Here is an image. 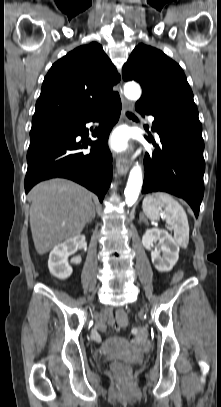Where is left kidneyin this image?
I'll return each instance as SVG.
<instances>
[{"label":"left kidney","mask_w":221,"mask_h":407,"mask_svg":"<svg viewBox=\"0 0 221 407\" xmlns=\"http://www.w3.org/2000/svg\"><path fill=\"white\" fill-rule=\"evenodd\" d=\"M159 241L160 249L153 248V243ZM143 246L151 251V259L160 272L171 271L179 258V246L173 237L163 229H147L142 237ZM162 252V256L160 255Z\"/></svg>","instance_id":"5707ae66"}]
</instances>
